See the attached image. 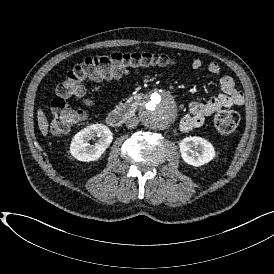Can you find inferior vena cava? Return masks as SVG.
Listing matches in <instances>:
<instances>
[{
  "label": "inferior vena cava",
  "instance_id": "602c4592",
  "mask_svg": "<svg viewBox=\"0 0 274 274\" xmlns=\"http://www.w3.org/2000/svg\"><path fill=\"white\" fill-rule=\"evenodd\" d=\"M139 124V119L136 117H131L126 120V127L129 129H134Z\"/></svg>",
  "mask_w": 274,
  "mask_h": 274
}]
</instances>
